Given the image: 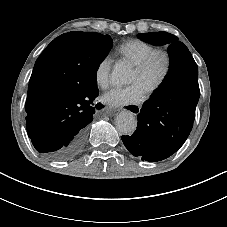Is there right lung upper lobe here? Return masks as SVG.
Here are the masks:
<instances>
[{"instance_id":"obj_1","label":"right lung upper lobe","mask_w":227,"mask_h":227,"mask_svg":"<svg viewBox=\"0 0 227 227\" xmlns=\"http://www.w3.org/2000/svg\"><path fill=\"white\" fill-rule=\"evenodd\" d=\"M75 79V73L69 68L38 58L28 86L25 105L27 115L36 114L37 109L49 97L70 92Z\"/></svg>"}]
</instances>
